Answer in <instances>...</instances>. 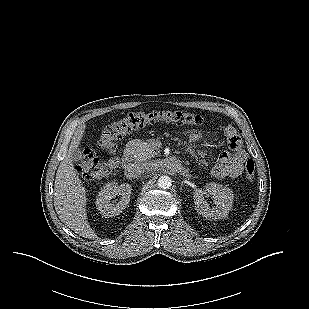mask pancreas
Returning <instances> with one entry per match:
<instances>
[{"label":"pancreas","mask_w":309,"mask_h":309,"mask_svg":"<svg viewBox=\"0 0 309 309\" xmlns=\"http://www.w3.org/2000/svg\"><path fill=\"white\" fill-rule=\"evenodd\" d=\"M134 157L136 161L144 162L152 158L155 154L153 146L149 142L135 141Z\"/></svg>","instance_id":"pancreas-1"}]
</instances>
